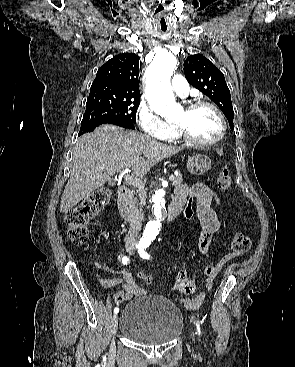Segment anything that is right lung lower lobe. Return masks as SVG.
Returning a JSON list of instances; mask_svg holds the SVG:
<instances>
[{"instance_id": "98d812e1", "label": "right lung lower lobe", "mask_w": 295, "mask_h": 367, "mask_svg": "<svg viewBox=\"0 0 295 367\" xmlns=\"http://www.w3.org/2000/svg\"><path fill=\"white\" fill-rule=\"evenodd\" d=\"M101 124H104V123L92 124V125H89V126L83 128V129H80L79 135H82V134H84L86 132H91L97 126H99ZM109 124H114V125H117V126H120V127H123V128H127V129H134L135 128L134 123L133 122H129V121H113V122H110Z\"/></svg>"}]
</instances>
